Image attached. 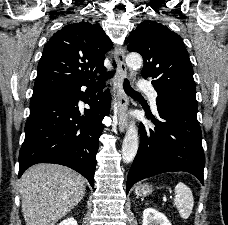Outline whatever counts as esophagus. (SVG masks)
<instances>
[{"mask_svg": "<svg viewBox=\"0 0 228 225\" xmlns=\"http://www.w3.org/2000/svg\"><path fill=\"white\" fill-rule=\"evenodd\" d=\"M126 47L124 45H117L115 47V60L117 63V108H118V130L124 133L128 125V104L129 100L123 88V82L127 75V68L125 64Z\"/></svg>", "mask_w": 228, "mask_h": 225, "instance_id": "obj_1", "label": "esophagus"}]
</instances>
